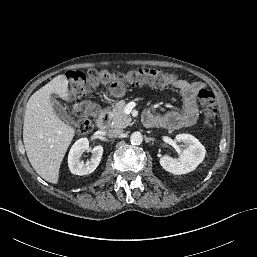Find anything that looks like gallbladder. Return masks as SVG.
<instances>
[{"instance_id": "bac80fb5", "label": "gallbladder", "mask_w": 257, "mask_h": 257, "mask_svg": "<svg viewBox=\"0 0 257 257\" xmlns=\"http://www.w3.org/2000/svg\"><path fill=\"white\" fill-rule=\"evenodd\" d=\"M52 107L54 113L61 118L63 121H65L68 124H74L75 120L74 118L66 111V108L63 107L57 100L52 99L51 100Z\"/></svg>"}]
</instances>
